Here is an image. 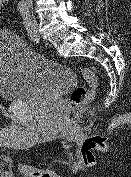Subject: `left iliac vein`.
Masks as SVG:
<instances>
[{
    "instance_id": "1",
    "label": "left iliac vein",
    "mask_w": 131,
    "mask_h": 177,
    "mask_svg": "<svg viewBox=\"0 0 131 177\" xmlns=\"http://www.w3.org/2000/svg\"><path fill=\"white\" fill-rule=\"evenodd\" d=\"M32 24H33V27L36 31V42H38L40 37H39V34H38V26H37V22H36L35 19H32Z\"/></svg>"
}]
</instances>
